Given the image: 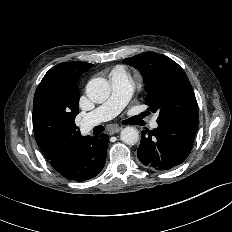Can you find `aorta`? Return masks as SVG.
I'll use <instances>...</instances> for the list:
<instances>
[{
	"mask_svg": "<svg viewBox=\"0 0 232 232\" xmlns=\"http://www.w3.org/2000/svg\"><path fill=\"white\" fill-rule=\"evenodd\" d=\"M110 93L111 87L105 78H94L86 86V94L94 103L100 104L105 102ZM120 139L128 145H134L139 140V132L136 128L128 126L121 131Z\"/></svg>",
	"mask_w": 232,
	"mask_h": 232,
	"instance_id": "obj_1",
	"label": "aorta"
}]
</instances>
